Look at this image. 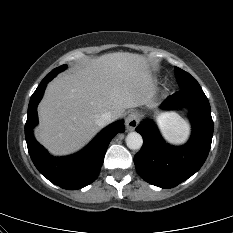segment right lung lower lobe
Instances as JSON below:
<instances>
[{
	"label": "right lung lower lobe",
	"mask_w": 233,
	"mask_h": 233,
	"mask_svg": "<svg viewBox=\"0 0 233 233\" xmlns=\"http://www.w3.org/2000/svg\"><path fill=\"white\" fill-rule=\"evenodd\" d=\"M52 79L42 80L40 86L31 96L25 124L27 147L34 165L43 176L61 188L76 190L96 180L110 141L117 133L125 131L124 122L119 121L105 128L87 147L75 155L52 157L33 136V127L38 123L37 105L43 96L47 83Z\"/></svg>",
	"instance_id": "obj_1"
}]
</instances>
